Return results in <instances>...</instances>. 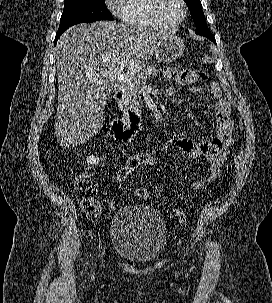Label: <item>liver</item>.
I'll return each instance as SVG.
<instances>
[{
    "mask_svg": "<svg viewBox=\"0 0 272 303\" xmlns=\"http://www.w3.org/2000/svg\"><path fill=\"white\" fill-rule=\"evenodd\" d=\"M169 35L115 21L78 24L61 35L56 45L58 107L54 129L65 148L85 143L102 126L112 86L95 80L145 69Z\"/></svg>",
    "mask_w": 272,
    "mask_h": 303,
    "instance_id": "1",
    "label": "liver"
}]
</instances>
